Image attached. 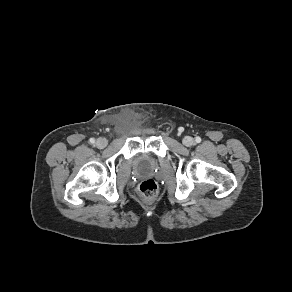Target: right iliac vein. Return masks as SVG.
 Returning <instances> with one entry per match:
<instances>
[{
    "mask_svg": "<svg viewBox=\"0 0 292 292\" xmlns=\"http://www.w3.org/2000/svg\"><path fill=\"white\" fill-rule=\"evenodd\" d=\"M106 145H107V140L105 139V138H98L97 140H96V146L98 147V148H100V149H103V148H105L106 147Z\"/></svg>",
    "mask_w": 292,
    "mask_h": 292,
    "instance_id": "obj_1",
    "label": "right iliac vein"
}]
</instances>
